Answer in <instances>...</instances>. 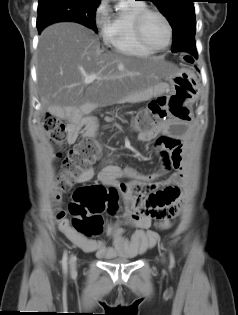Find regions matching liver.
Masks as SVG:
<instances>
[{"label": "liver", "mask_w": 238, "mask_h": 315, "mask_svg": "<svg viewBox=\"0 0 238 315\" xmlns=\"http://www.w3.org/2000/svg\"><path fill=\"white\" fill-rule=\"evenodd\" d=\"M42 112L64 118L86 103L114 104L140 93L168 74L158 57L135 58L100 48L95 33L73 22L45 28L37 51ZM97 79L85 83L86 75Z\"/></svg>", "instance_id": "liver-1"}]
</instances>
